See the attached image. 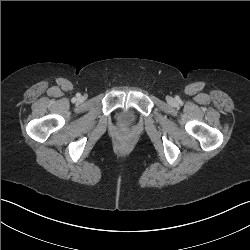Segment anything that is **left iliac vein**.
<instances>
[{
  "instance_id": "left-iliac-vein-1",
  "label": "left iliac vein",
  "mask_w": 250,
  "mask_h": 250,
  "mask_svg": "<svg viewBox=\"0 0 250 250\" xmlns=\"http://www.w3.org/2000/svg\"><path fill=\"white\" fill-rule=\"evenodd\" d=\"M168 102L171 103V104H173L174 103V99L172 97H169L168 98Z\"/></svg>"
}]
</instances>
